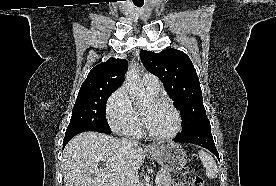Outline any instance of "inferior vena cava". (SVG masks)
I'll use <instances>...</instances> for the list:
<instances>
[{"mask_svg":"<svg viewBox=\"0 0 276 186\" xmlns=\"http://www.w3.org/2000/svg\"><path fill=\"white\" fill-rule=\"evenodd\" d=\"M121 143L125 146L137 145L136 141L126 138H122ZM120 186H138V175L135 173H127Z\"/></svg>","mask_w":276,"mask_h":186,"instance_id":"602c4592","label":"inferior vena cava"}]
</instances>
